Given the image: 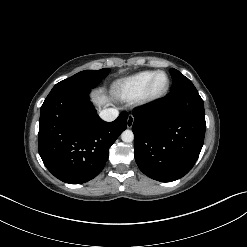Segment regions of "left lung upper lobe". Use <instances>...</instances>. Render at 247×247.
<instances>
[{"label":"left lung upper lobe","instance_id":"left-lung-upper-lobe-1","mask_svg":"<svg viewBox=\"0 0 247 247\" xmlns=\"http://www.w3.org/2000/svg\"><path fill=\"white\" fill-rule=\"evenodd\" d=\"M170 73L173 77L172 94L197 91L193 83L178 70L170 69Z\"/></svg>","mask_w":247,"mask_h":247}]
</instances>
